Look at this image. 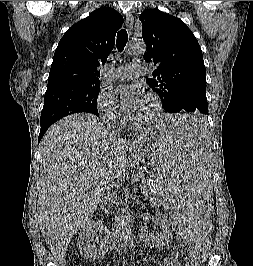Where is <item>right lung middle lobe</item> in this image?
I'll list each match as a JSON object with an SVG mask.
<instances>
[{
    "mask_svg": "<svg viewBox=\"0 0 253 266\" xmlns=\"http://www.w3.org/2000/svg\"><path fill=\"white\" fill-rule=\"evenodd\" d=\"M100 84L66 86L46 91L41 112V127H49L57 120L74 113L86 112L98 116L97 97Z\"/></svg>",
    "mask_w": 253,
    "mask_h": 266,
    "instance_id": "obj_1",
    "label": "right lung middle lobe"
}]
</instances>
